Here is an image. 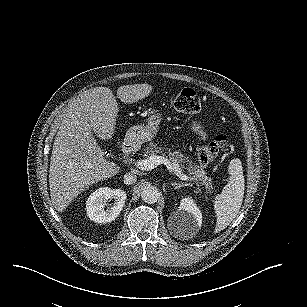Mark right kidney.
I'll return each instance as SVG.
<instances>
[{
  "mask_svg": "<svg viewBox=\"0 0 307 307\" xmlns=\"http://www.w3.org/2000/svg\"><path fill=\"white\" fill-rule=\"evenodd\" d=\"M114 199V204L104 210V202ZM127 195L122 189L109 186L100 187L87 197L85 214L95 223H109L114 221L125 206Z\"/></svg>",
  "mask_w": 307,
  "mask_h": 307,
  "instance_id": "ca27d5eb",
  "label": "right kidney"
}]
</instances>
